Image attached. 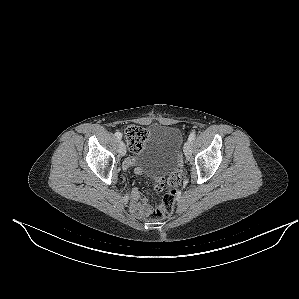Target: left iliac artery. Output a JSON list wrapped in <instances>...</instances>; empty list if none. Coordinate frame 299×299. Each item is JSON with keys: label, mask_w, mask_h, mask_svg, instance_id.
<instances>
[{"label": "left iliac artery", "mask_w": 299, "mask_h": 299, "mask_svg": "<svg viewBox=\"0 0 299 299\" xmlns=\"http://www.w3.org/2000/svg\"><path fill=\"white\" fill-rule=\"evenodd\" d=\"M195 136H196V133H195V132H192V133L189 135L188 140H189V141H193V140L195 139Z\"/></svg>", "instance_id": "44dca946"}]
</instances>
